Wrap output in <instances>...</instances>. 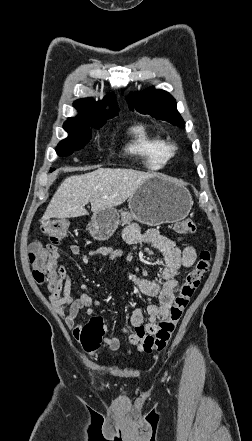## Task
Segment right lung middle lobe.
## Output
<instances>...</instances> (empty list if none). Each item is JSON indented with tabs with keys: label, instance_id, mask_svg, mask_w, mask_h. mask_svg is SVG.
Wrapping results in <instances>:
<instances>
[{
	"label": "right lung middle lobe",
	"instance_id": "dd1d6c3e",
	"mask_svg": "<svg viewBox=\"0 0 252 441\" xmlns=\"http://www.w3.org/2000/svg\"><path fill=\"white\" fill-rule=\"evenodd\" d=\"M104 124L105 121L99 123H85L67 120L64 123L63 128L69 133V136L59 142L56 148L57 154L59 156H68L72 154L73 151L83 148L92 137L90 128H100ZM52 171L53 170H51V172Z\"/></svg>",
	"mask_w": 252,
	"mask_h": 441
}]
</instances>
